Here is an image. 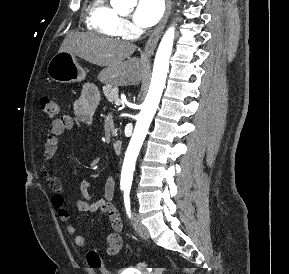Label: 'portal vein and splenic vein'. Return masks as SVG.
Returning <instances> with one entry per match:
<instances>
[{
    "mask_svg": "<svg viewBox=\"0 0 289 274\" xmlns=\"http://www.w3.org/2000/svg\"><path fill=\"white\" fill-rule=\"evenodd\" d=\"M115 104L116 105H120L121 104V100L120 99L115 100Z\"/></svg>",
    "mask_w": 289,
    "mask_h": 274,
    "instance_id": "obj_1",
    "label": "portal vein and splenic vein"
}]
</instances>
